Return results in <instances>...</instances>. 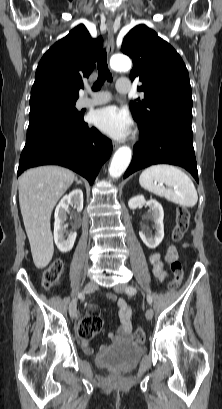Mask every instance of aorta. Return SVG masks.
<instances>
[{"label":"aorta","mask_w":222,"mask_h":409,"mask_svg":"<svg viewBox=\"0 0 222 409\" xmlns=\"http://www.w3.org/2000/svg\"><path fill=\"white\" fill-rule=\"evenodd\" d=\"M110 66L115 71H128L131 68V61L124 55H115L110 60ZM132 158V151L129 147H120L114 154L109 174L113 178H119L128 168Z\"/></svg>","instance_id":"obj_1"}]
</instances>
